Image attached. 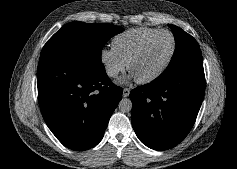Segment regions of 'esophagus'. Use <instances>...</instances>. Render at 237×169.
I'll list each match as a JSON object with an SVG mask.
<instances>
[{"mask_svg": "<svg viewBox=\"0 0 237 169\" xmlns=\"http://www.w3.org/2000/svg\"><path fill=\"white\" fill-rule=\"evenodd\" d=\"M130 94V89L129 88H124L123 89V97H128Z\"/></svg>", "mask_w": 237, "mask_h": 169, "instance_id": "obj_1", "label": "esophagus"}]
</instances>
